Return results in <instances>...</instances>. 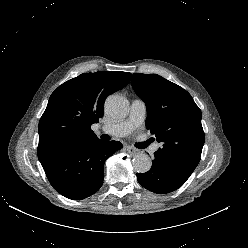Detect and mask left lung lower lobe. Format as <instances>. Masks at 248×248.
<instances>
[{
  "label": "left lung lower lobe",
  "mask_w": 248,
  "mask_h": 248,
  "mask_svg": "<svg viewBox=\"0 0 248 248\" xmlns=\"http://www.w3.org/2000/svg\"><path fill=\"white\" fill-rule=\"evenodd\" d=\"M151 169L143 174L137 173L138 182L146 189L165 194L180 188L190 177L174 163L155 155Z\"/></svg>",
  "instance_id": "left-lung-lower-lobe-1"
}]
</instances>
